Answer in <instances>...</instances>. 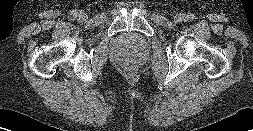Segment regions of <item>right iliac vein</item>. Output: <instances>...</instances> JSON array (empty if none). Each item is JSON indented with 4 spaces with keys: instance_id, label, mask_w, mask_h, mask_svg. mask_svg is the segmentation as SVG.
Returning <instances> with one entry per match:
<instances>
[{
    "instance_id": "obj_1",
    "label": "right iliac vein",
    "mask_w": 253,
    "mask_h": 131,
    "mask_svg": "<svg viewBox=\"0 0 253 131\" xmlns=\"http://www.w3.org/2000/svg\"><path fill=\"white\" fill-rule=\"evenodd\" d=\"M79 19L84 20L86 18V14L84 12H79L78 15Z\"/></svg>"
}]
</instances>
